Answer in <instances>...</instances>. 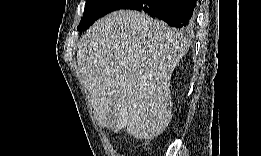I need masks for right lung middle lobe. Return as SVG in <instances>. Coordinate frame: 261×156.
Segmentation results:
<instances>
[{"mask_svg": "<svg viewBox=\"0 0 261 156\" xmlns=\"http://www.w3.org/2000/svg\"><path fill=\"white\" fill-rule=\"evenodd\" d=\"M129 0H88L85 6L84 17L77 27L78 31L87 30L101 16L120 9Z\"/></svg>", "mask_w": 261, "mask_h": 156, "instance_id": "right-lung-middle-lobe-1", "label": "right lung middle lobe"}]
</instances>
